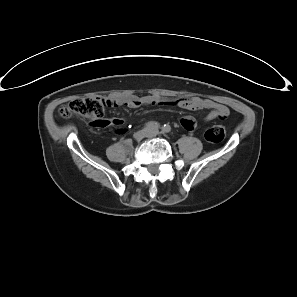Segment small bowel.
<instances>
[{
	"label": "small bowel",
	"instance_id": "obj_1",
	"mask_svg": "<svg viewBox=\"0 0 297 297\" xmlns=\"http://www.w3.org/2000/svg\"><path fill=\"white\" fill-rule=\"evenodd\" d=\"M106 102L110 107L126 106L128 108H138L145 105L156 106L162 104H170L176 105L182 109L189 111L209 109L211 111L206 116V121H211L215 119H225L226 117H228L230 113L229 108L227 106L212 101L210 99H201L198 97L166 101L157 96H130L123 98H109ZM180 123L187 130H192L196 127L195 120L189 116L182 118ZM123 124L124 121L121 119H90L88 121V126L90 128H101L102 130H109L111 128V125L121 126Z\"/></svg>",
	"mask_w": 297,
	"mask_h": 297
}]
</instances>
